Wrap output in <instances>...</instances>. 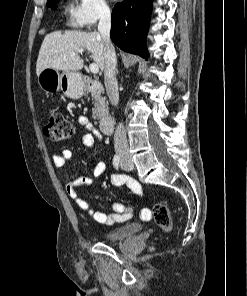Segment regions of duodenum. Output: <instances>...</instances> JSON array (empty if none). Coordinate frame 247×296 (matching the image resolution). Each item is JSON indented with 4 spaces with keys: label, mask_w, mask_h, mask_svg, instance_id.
I'll return each instance as SVG.
<instances>
[{
    "label": "duodenum",
    "mask_w": 247,
    "mask_h": 296,
    "mask_svg": "<svg viewBox=\"0 0 247 296\" xmlns=\"http://www.w3.org/2000/svg\"><path fill=\"white\" fill-rule=\"evenodd\" d=\"M85 88L90 93H102L104 88L101 82L93 79L85 81ZM100 129L103 133H110L113 128V117L110 114L101 116L99 121Z\"/></svg>",
    "instance_id": "obj_1"
}]
</instances>
